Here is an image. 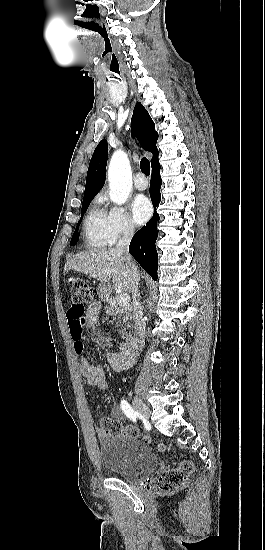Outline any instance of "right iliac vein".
Returning <instances> with one entry per match:
<instances>
[{
	"label": "right iliac vein",
	"mask_w": 265,
	"mask_h": 550,
	"mask_svg": "<svg viewBox=\"0 0 265 550\" xmlns=\"http://www.w3.org/2000/svg\"><path fill=\"white\" fill-rule=\"evenodd\" d=\"M133 405L144 418L148 419L150 417L149 407L137 395L133 397Z\"/></svg>",
	"instance_id": "1"
}]
</instances>
